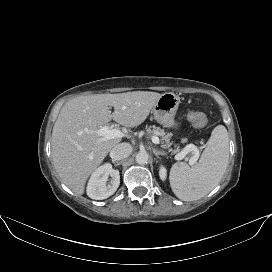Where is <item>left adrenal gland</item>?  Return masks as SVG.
Segmentation results:
<instances>
[{"label": "left adrenal gland", "mask_w": 272, "mask_h": 272, "mask_svg": "<svg viewBox=\"0 0 272 272\" xmlns=\"http://www.w3.org/2000/svg\"><path fill=\"white\" fill-rule=\"evenodd\" d=\"M153 153L157 158H159V155H166L164 151H158L156 149H153Z\"/></svg>", "instance_id": "a2214340"}]
</instances>
